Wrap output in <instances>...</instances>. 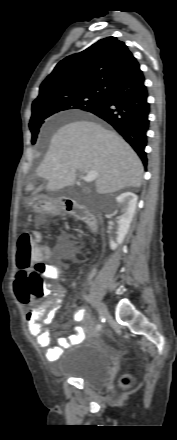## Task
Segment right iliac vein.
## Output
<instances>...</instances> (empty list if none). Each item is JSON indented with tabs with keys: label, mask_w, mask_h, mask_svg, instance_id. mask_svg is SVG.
<instances>
[{
	"label": "right iliac vein",
	"mask_w": 177,
	"mask_h": 440,
	"mask_svg": "<svg viewBox=\"0 0 177 440\" xmlns=\"http://www.w3.org/2000/svg\"><path fill=\"white\" fill-rule=\"evenodd\" d=\"M97 310L102 319H105L109 314L107 307L102 302H98Z\"/></svg>",
	"instance_id": "1"
}]
</instances>
